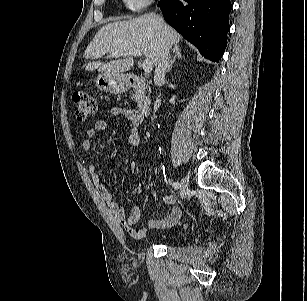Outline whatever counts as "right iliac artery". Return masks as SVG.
Returning a JSON list of instances; mask_svg holds the SVG:
<instances>
[{"label":"right iliac artery","mask_w":307,"mask_h":301,"mask_svg":"<svg viewBox=\"0 0 307 301\" xmlns=\"http://www.w3.org/2000/svg\"><path fill=\"white\" fill-rule=\"evenodd\" d=\"M172 186L175 188V189H179L181 187V183L176 181V182H173L172 183Z\"/></svg>","instance_id":"1"}]
</instances>
